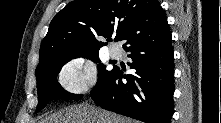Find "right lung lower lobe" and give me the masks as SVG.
I'll list each match as a JSON object with an SVG mask.
<instances>
[{
  "label": "right lung lower lobe",
  "instance_id": "right-lung-lower-lobe-1",
  "mask_svg": "<svg viewBox=\"0 0 221 123\" xmlns=\"http://www.w3.org/2000/svg\"><path fill=\"white\" fill-rule=\"evenodd\" d=\"M131 52L134 75L118 68L98 83L91 97L102 108L146 123H171L174 113V51L172 36L135 45ZM122 78L127 83L122 82Z\"/></svg>",
  "mask_w": 221,
  "mask_h": 123
}]
</instances>
